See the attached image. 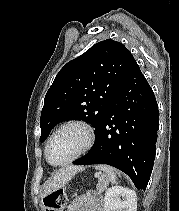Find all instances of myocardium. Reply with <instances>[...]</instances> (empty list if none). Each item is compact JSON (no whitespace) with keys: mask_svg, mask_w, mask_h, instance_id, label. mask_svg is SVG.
<instances>
[{"mask_svg":"<svg viewBox=\"0 0 179 211\" xmlns=\"http://www.w3.org/2000/svg\"><path fill=\"white\" fill-rule=\"evenodd\" d=\"M69 127H76V128H79L80 130H82V132L84 133V137H85L84 143H83L82 147L77 151V153L74 154L69 160H67L61 164H54L49 159V155H48L49 145H50L51 141L53 140V138L60 131H62L65 128H69ZM94 141H95L94 130H93V127L88 122H86L84 120H80V119H72V120L65 121L62 124H60L52 132V134L49 136V138L46 141L45 149H44L46 161L51 166H54V167H64L66 165H69L72 162H74L75 160H77L79 157H81L82 155L87 153L92 148Z\"/></svg>","mask_w":179,"mask_h":211,"instance_id":"myocardium-1","label":"myocardium"}]
</instances>
